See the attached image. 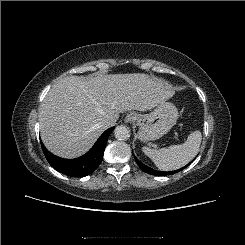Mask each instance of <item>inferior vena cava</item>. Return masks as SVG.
Instances as JSON below:
<instances>
[{
  "instance_id": "602c4592",
  "label": "inferior vena cava",
  "mask_w": 245,
  "mask_h": 245,
  "mask_svg": "<svg viewBox=\"0 0 245 245\" xmlns=\"http://www.w3.org/2000/svg\"><path fill=\"white\" fill-rule=\"evenodd\" d=\"M115 124H116V120L113 119V118H110V119L106 120L105 122H103V126H104L105 128L112 127V126H114Z\"/></svg>"
}]
</instances>
